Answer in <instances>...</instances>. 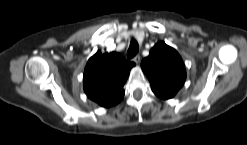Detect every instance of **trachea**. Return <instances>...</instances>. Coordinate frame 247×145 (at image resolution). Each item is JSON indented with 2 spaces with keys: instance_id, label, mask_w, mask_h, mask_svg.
<instances>
[{
  "instance_id": "1",
  "label": "trachea",
  "mask_w": 247,
  "mask_h": 145,
  "mask_svg": "<svg viewBox=\"0 0 247 145\" xmlns=\"http://www.w3.org/2000/svg\"><path fill=\"white\" fill-rule=\"evenodd\" d=\"M138 51H139V45H138L137 41L131 40L129 49L127 51V58L128 59L133 58L134 56H136Z\"/></svg>"
}]
</instances>
